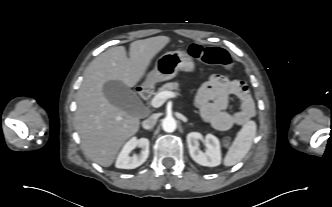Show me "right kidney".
<instances>
[{
    "instance_id": "right-kidney-1",
    "label": "right kidney",
    "mask_w": 332,
    "mask_h": 207,
    "mask_svg": "<svg viewBox=\"0 0 332 207\" xmlns=\"http://www.w3.org/2000/svg\"><path fill=\"white\" fill-rule=\"evenodd\" d=\"M136 147H140L139 155L129 156L131 151ZM149 156V140L147 138H131L119 153L115 166L121 169H134L142 165Z\"/></svg>"
}]
</instances>
